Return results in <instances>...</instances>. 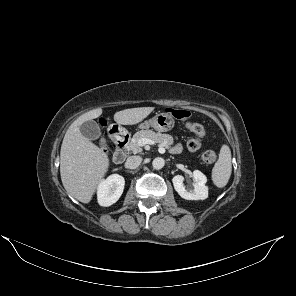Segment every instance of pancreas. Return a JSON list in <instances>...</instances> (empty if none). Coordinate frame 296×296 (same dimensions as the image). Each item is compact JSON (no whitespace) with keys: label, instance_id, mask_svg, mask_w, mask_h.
I'll return each instance as SVG.
<instances>
[{"label":"pancreas","instance_id":"pancreas-1","mask_svg":"<svg viewBox=\"0 0 296 296\" xmlns=\"http://www.w3.org/2000/svg\"><path fill=\"white\" fill-rule=\"evenodd\" d=\"M142 138L151 139L154 143L164 148H170L174 143V138L169 134H161L159 132H154L151 130H142L135 133L128 144V149L133 153H141L142 147L139 144V140Z\"/></svg>","mask_w":296,"mask_h":296}]
</instances>
